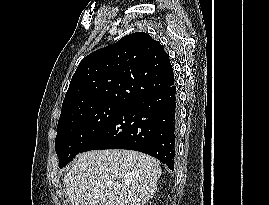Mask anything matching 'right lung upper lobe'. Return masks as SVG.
<instances>
[{"label":"right lung upper lobe","mask_w":269,"mask_h":205,"mask_svg":"<svg viewBox=\"0 0 269 205\" xmlns=\"http://www.w3.org/2000/svg\"><path fill=\"white\" fill-rule=\"evenodd\" d=\"M174 82L172 65L162 45L147 33H132L80 62L66 92L60 118L97 103L130 105L170 88Z\"/></svg>","instance_id":"right-lung-upper-lobe-1"}]
</instances>
